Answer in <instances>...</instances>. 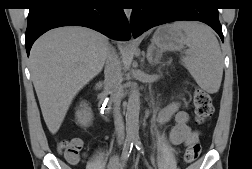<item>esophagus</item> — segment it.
<instances>
[{"label": "esophagus", "instance_id": "esophagus-1", "mask_svg": "<svg viewBox=\"0 0 252 169\" xmlns=\"http://www.w3.org/2000/svg\"><path fill=\"white\" fill-rule=\"evenodd\" d=\"M131 13H132V11L130 9L125 10V14H126V17L128 18V20H130Z\"/></svg>", "mask_w": 252, "mask_h": 169}]
</instances>
